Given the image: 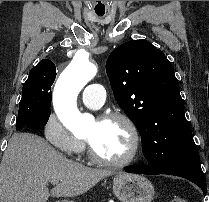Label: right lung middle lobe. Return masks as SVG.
I'll list each match as a JSON object with an SVG mask.
<instances>
[{"instance_id": "1", "label": "right lung middle lobe", "mask_w": 209, "mask_h": 202, "mask_svg": "<svg viewBox=\"0 0 209 202\" xmlns=\"http://www.w3.org/2000/svg\"><path fill=\"white\" fill-rule=\"evenodd\" d=\"M55 78L56 75H37L24 83L16 122L18 131L23 128L37 130L46 125L50 116L51 86Z\"/></svg>"}]
</instances>
